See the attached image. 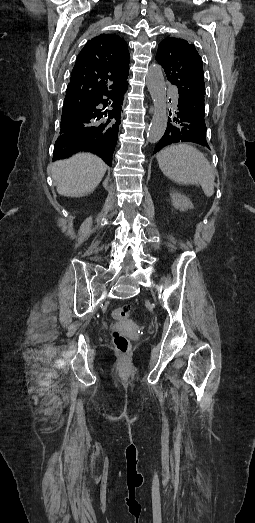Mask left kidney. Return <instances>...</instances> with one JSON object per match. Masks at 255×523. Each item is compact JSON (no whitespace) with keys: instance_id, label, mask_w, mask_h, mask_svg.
I'll list each match as a JSON object with an SVG mask.
<instances>
[{"instance_id":"obj_1","label":"left kidney","mask_w":255,"mask_h":523,"mask_svg":"<svg viewBox=\"0 0 255 523\" xmlns=\"http://www.w3.org/2000/svg\"><path fill=\"white\" fill-rule=\"evenodd\" d=\"M170 196L172 198V204L177 210L184 212V210H191V208H193L192 202H190L186 196H182V194H178V192H171Z\"/></svg>"}]
</instances>
